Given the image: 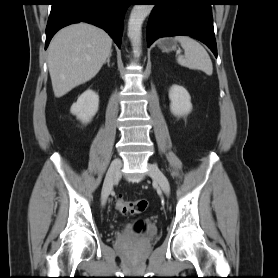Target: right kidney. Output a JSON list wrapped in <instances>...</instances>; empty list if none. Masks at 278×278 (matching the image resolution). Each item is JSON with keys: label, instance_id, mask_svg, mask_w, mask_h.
I'll return each instance as SVG.
<instances>
[{"label": "right kidney", "instance_id": "right-kidney-1", "mask_svg": "<svg viewBox=\"0 0 278 278\" xmlns=\"http://www.w3.org/2000/svg\"><path fill=\"white\" fill-rule=\"evenodd\" d=\"M99 96L98 94L88 89L80 95L77 102L71 106V113L76 115L77 119L83 123H88L98 111Z\"/></svg>", "mask_w": 278, "mask_h": 278}]
</instances>
